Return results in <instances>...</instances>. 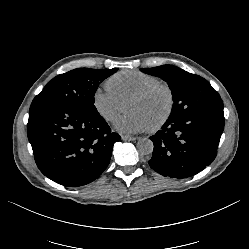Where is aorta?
Returning a JSON list of instances; mask_svg holds the SVG:
<instances>
[{"label":"aorta","mask_w":249,"mask_h":249,"mask_svg":"<svg viewBox=\"0 0 249 249\" xmlns=\"http://www.w3.org/2000/svg\"><path fill=\"white\" fill-rule=\"evenodd\" d=\"M153 142L148 138H141L137 142V151L141 155H150L153 152Z\"/></svg>","instance_id":"obj_1"}]
</instances>
